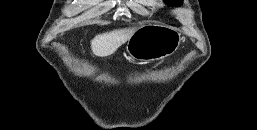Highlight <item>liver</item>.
Instances as JSON below:
<instances>
[{"label": "liver", "mask_w": 257, "mask_h": 130, "mask_svg": "<svg viewBox=\"0 0 257 130\" xmlns=\"http://www.w3.org/2000/svg\"><path fill=\"white\" fill-rule=\"evenodd\" d=\"M134 31L135 28H125L99 34L91 41V49L96 56H108L124 44Z\"/></svg>", "instance_id": "liver-1"}]
</instances>
